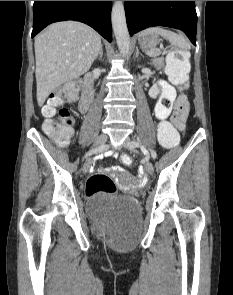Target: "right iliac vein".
I'll return each instance as SVG.
<instances>
[{
	"mask_svg": "<svg viewBox=\"0 0 233 295\" xmlns=\"http://www.w3.org/2000/svg\"><path fill=\"white\" fill-rule=\"evenodd\" d=\"M107 139H108V137H107L106 134H101V135L97 138V140H96V142H95L93 148L99 147V148H102V150L104 151V150L106 149L105 144H106V142H107ZM93 154H94V151H93ZM91 163H92V157L90 156V157H88V158L86 159V161H85V163H84V165H83V172H84V173H86V172L89 170V168H90V166H91Z\"/></svg>",
	"mask_w": 233,
	"mask_h": 295,
	"instance_id": "right-iliac-vein-1",
	"label": "right iliac vein"
}]
</instances>
